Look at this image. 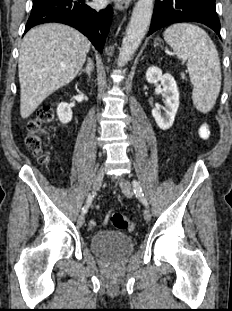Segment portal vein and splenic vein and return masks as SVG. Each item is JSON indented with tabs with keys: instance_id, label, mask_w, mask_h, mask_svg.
I'll list each match as a JSON object with an SVG mask.
<instances>
[{
	"instance_id": "18ae733b",
	"label": "portal vein and splenic vein",
	"mask_w": 232,
	"mask_h": 311,
	"mask_svg": "<svg viewBox=\"0 0 232 311\" xmlns=\"http://www.w3.org/2000/svg\"><path fill=\"white\" fill-rule=\"evenodd\" d=\"M62 67H66V65L62 64Z\"/></svg>"
}]
</instances>
